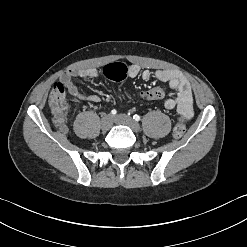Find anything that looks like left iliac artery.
Segmentation results:
<instances>
[{"mask_svg": "<svg viewBox=\"0 0 247 247\" xmlns=\"http://www.w3.org/2000/svg\"><path fill=\"white\" fill-rule=\"evenodd\" d=\"M133 119H134L135 121H139L141 118H140L139 115L135 114V115H133Z\"/></svg>", "mask_w": 247, "mask_h": 247, "instance_id": "44dca946", "label": "left iliac artery"}]
</instances>
